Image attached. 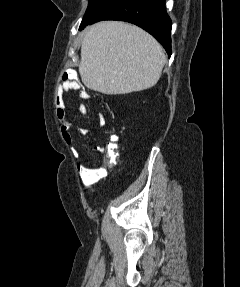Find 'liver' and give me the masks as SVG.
Instances as JSON below:
<instances>
[{"label": "liver", "mask_w": 240, "mask_h": 287, "mask_svg": "<svg viewBox=\"0 0 240 287\" xmlns=\"http://www.w3.org/2000/svg\"><path fill=\"white\" fill-rule=\"evenodd\" d=\"M165 63L162 46L149 33L129 23L103 21L84 35L79 73L93 91L127 94L153 87Z\"/></svg>", "instance_id": "liver-1"}]
</instances>
